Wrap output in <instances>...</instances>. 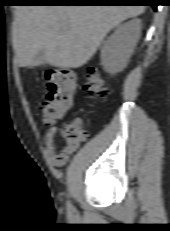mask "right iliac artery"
<instances>
[{
  "label": "right iliac artery",
  "mask_w": 170,
  "mask_h": 231,
  "mask_svg": "<svg viewBox=\"0 0 170 231\" xmlns=\"http://www.w3.org/2000/svg\"><path fill=\"white\" fill-rule=\"evenodd\" d=\"M68 207H69V208H71V204H70V202H68Z\"/></svg>",
  "instance_id": "right-iliac-artery-1"
}]
</instances>
